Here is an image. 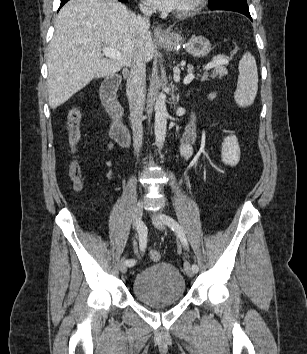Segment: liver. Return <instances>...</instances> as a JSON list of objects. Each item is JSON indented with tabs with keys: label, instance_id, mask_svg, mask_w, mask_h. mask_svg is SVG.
Returning <instances> with one entry per match:
<instances>
[{
	"label": "liver",
	"instance_id": "1",
	"mask_svg": "<svg viewBox=\"0 0 307 354\" xmlns=\"http://www.w3.org/2000/svg\"><path fill=\"white\" fill-rule=\"evenodd\" d=\"M47 56V87L52 109L65 103L93 79L113 76L132 64L141 50L152 60L149 32L140 43L137 16L117 0H70L59 11ZM118 50L121 59L104 58L101 47Z\"/></svg>",
	"mask_w": 307,
	"mask_h": 354
}]
</instances>
